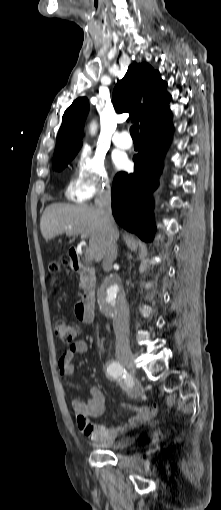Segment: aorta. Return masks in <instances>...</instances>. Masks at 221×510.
<instances>
[{"label": "aorta", "instance_id": "762f6f07", "mask_svg": "<svg viewBox=\"0 0 221 510\" xmlns=\"http://www.w3.org/2000/svg\"><path fill=\"white\" fill-rule=\"evenodd\" d=\"M96 124L93 122L91 124V133H95ZM120 288V283L118 280H111L105 284L102 293V301L107 306H112L114 304V299L116 294L118 293Z\"/></svg>", "mask_w": 221, "mask_h": 510}]
</instances>
